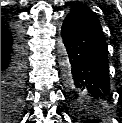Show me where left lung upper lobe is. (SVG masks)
I'll use <instances>...</instances> for the list:
<instances>
[{
    "mask_svg": "<svg viewBox=\"0 0 122 123\" xmlns=\"http://www.w3.org/2000/svg\"><path fill=\"white\" fill-rule=\"evenodd\" d=\"M69 14L75 15L77 17H80L98 29L102 30L101 24L95 13L89 9V7L85 6L82 3H77L71 8V12Z\"/></svg>",
    "mask_w": 122,
    "mask_h": 123,
    "instance_id": "obj_1",
    "label": "left lung upper lobe"
}]
</instances>
